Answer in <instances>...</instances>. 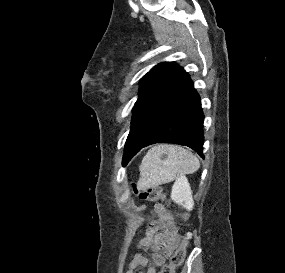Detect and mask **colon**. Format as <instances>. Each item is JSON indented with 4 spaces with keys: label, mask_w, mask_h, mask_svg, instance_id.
Instances as JSON below:
<instances>
[{
    "label": "colon",
    "mask_w": 285,
    "mask_h": 273,
    "mask_svg": "<svg viewBox=\"0 0 285 273\" xmlns=\"http://www.w3.org/2000/svg\"><path fill=\"white\" fill-rule=\"evenodd\" d=\"M132 190L142 201H158L164 199L162 190L156 186H144L141 183H132ZM187 245V237H183L179 247L171 256L169 262L161 268L160 273H175V271L182 266Z\"/></svg>",
    "instance_id": "5ec220e1"
}]
</instances>
